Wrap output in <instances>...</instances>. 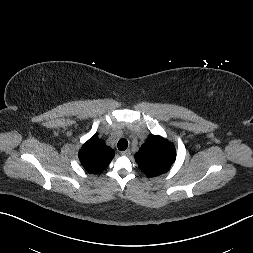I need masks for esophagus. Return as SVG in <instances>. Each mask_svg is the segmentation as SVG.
<instances>
[{
    "label": "esophagus",
    "mask_w": 253,
    "mask_h": 253,
    "mask_svg": "<svg viewBox=\"0 0 253 253\" xmlns=\"http://www.w3.org/2000/svg\"><path fill=\"white\" fill-rule=\"evenodd\" d=\"M120 154L122 156H129L131 154L130 150L121 151Z\"/></svg>",
    "instance_id": "34e87169"
}]
</instances>
